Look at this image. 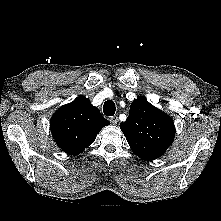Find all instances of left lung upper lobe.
I'll return each mask as SVG.
<instances>
[{
  "mask_svg": "<svg viewBox=\"0 0 221 221\" xmlns=\"http://www.w3.org/2000/svg\"><path fill=\"white\" fill-rule=\"evenodd\" d=\"M120 128L132 151L143 160L163 155L175 136L172 119L143 97L132 102L129 116Z\"/></svg>",
  "mask_w": 221,
  "mask_h": 221,
  "instance_id": "1",
  "label": "left lung upper lobe"
}]
</instances>
